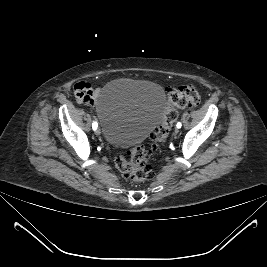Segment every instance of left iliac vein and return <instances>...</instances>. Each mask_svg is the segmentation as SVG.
Listing matches in <instances>:
<instances>
[{
  "instance_id": "left-iliac-vein-1",
  "label": "left iliac vein",
  "mask_w": 267,
  "mask_h": 267,
  "mask_svg": "<svg viewBox=\"0 0 267 267\" xmlns=\"http://www.w3.org/2000/svg\"><path fill=\"white\" fill-rule=\"evenodd\" d=\"M174 133L175 134H178L179 133V129L178 128H175Z\"/></svg>"
}]
</instances>
